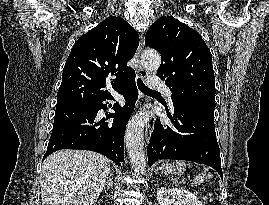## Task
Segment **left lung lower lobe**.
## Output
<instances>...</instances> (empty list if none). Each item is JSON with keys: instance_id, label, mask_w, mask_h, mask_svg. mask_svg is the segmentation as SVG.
<instances>
[{"instance_id": "left-lung-lower-lobe-1", "label": "left lung lower lobe", "mask_w": 269, "mask_h": 205, "mask_svg": "<svg viewBox=\"0 0 269 205\" xmlns=\"http://www.w3.org/2000/svg\"><path fill=\"white\" fill-rule=\"evenodd\" d=\"M173 125L157 119L147 148L151 166L161 159L186 160L214 168L223 178L220 150L214 126L215 103L198 101L173 104Z\"/></svg>"}]
</instances>
